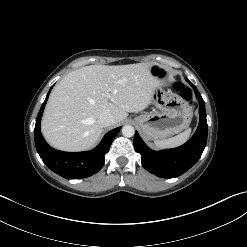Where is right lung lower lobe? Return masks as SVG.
Returning <instances> with one entry per match:
<instances>
[{"mask_svg":"<svg viewBox=\"0 0 247 247\" xmlns=\"http://www.w3.org/2000/svg\"><path fill=\"white\" fill-rule=\"evenodd\" d=\"M50 91L36 119L34 139L37 152L49 169L64 178L81 179L89 177L98 172L103 166L105 154L109 151L112 141L121 127L109 131L100 144L91 151L72 153L53 149L46 143L40 131L41 117Z\"/></svg>","mask_w":247,"mask_h":247,"instance_id":"98d812e1","label":"right lung lower lobe"}]
</instances>
